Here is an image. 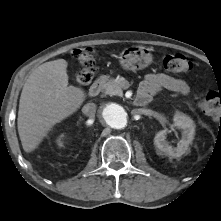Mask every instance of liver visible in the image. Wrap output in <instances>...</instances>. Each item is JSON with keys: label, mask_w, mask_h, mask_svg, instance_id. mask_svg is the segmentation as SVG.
<instances>
[{"label": "liver", "mask_w": 221, "mask_h": 221, "mask_svg": "<svg viewBox=\"0 0 221 221\" xmlns=\"http://www.w3.org/2000/svg\"><path fill=\"white\" fill-rule=\"evenodd\" d=\"M67 62L43 63L26 80L19 101L17 127L22 147L31 152L57 123L75 113L86 94L68 86Z\"/></svg>", "instance_id": "liver-1"}]
</instances>
